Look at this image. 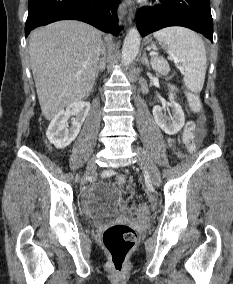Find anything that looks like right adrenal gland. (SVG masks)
I'll return each instance as SVG.
<instances>
[{
    "mask_svg": "<svg viewBox=\"0 0 233 284\" xmlns=\"http://www.w3.org/2000/svg\"><path fill=\"white\" fill-rule=\"evenodd\" d=\"M105 58H106V55H105V53H103V57H102L99 65L96 69V77H98V75L101 71L105 70V66H106Z\"/></svg>",
    "mask_w": 233,
    "mask_h": 284,
    "instance_id": "right-adrenal-gland-1",
    "label": "right adrenal gland"
}]
</instances>
